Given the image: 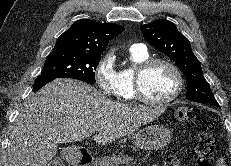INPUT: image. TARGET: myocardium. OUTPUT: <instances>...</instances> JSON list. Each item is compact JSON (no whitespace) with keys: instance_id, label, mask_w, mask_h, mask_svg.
Returning a JSON list of instances; mask_svg holds the SVG:
<instances>
[{"instance_id":"1","label":"myocardium","mask_w":231,"mask_h":166,"mask_svg":"<svg viewBox=\"0 0 231 166\" xmlns=\"http://www.w3.org/2000/svg\"><path fill=\"white\" fill-rule=\"evenodd\" d=\"M157 64H164L168 66L172 70L176 78L175 90L169 97L165 99L150 98L145 94L143 89V79L145 74L151 67ZM133 84H134L135 99L149 105L165 106L172 103L181 94L184 87V78L181 70L173 61L163 57H155V58H148L147 60L141 62L135 67Z\"/></svg>"}]
</instances>
